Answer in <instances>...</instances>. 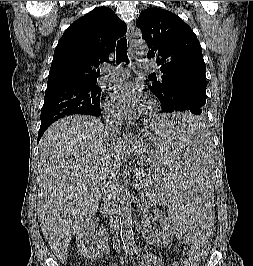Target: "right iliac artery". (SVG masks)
Instances as JSON below:
<instances>
[{"mask_svg": "<svg viewBox=\"0 0 253 266\" xmlns=\"http://www.w3.org/2000/svg\"><path fill=\"white\" fill-rule=\"evenodd\" d=\"M126 254L130 253L129 248H125Z\"/></svg>", "mask_w": 253, "mask_h": 266, "instance_id": "right-iliac-artery-1", "label": "right iliac artery"}]
</instances>
